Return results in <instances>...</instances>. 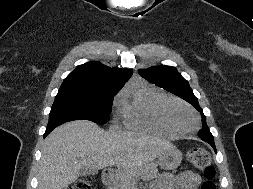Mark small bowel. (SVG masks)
Wrapping results in <instances>:
<instances>
[{
	"mask_svg": "<svg viewBox=\"0 0 253 189\" xmlns=\"http://www.w3.org/2000/svg\"><path fill=\"white\" fill-rule=\"evenodd\" d=\"M201 178L192 171H182L179 174H163L154 189H199Z\"/></svg>",
	"mask_w": 253,
	"mask_h": 189,
	"instance_id": "small-bowel-1",
	"label": "small bowel"
}]
</instances>
